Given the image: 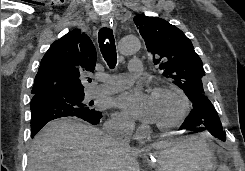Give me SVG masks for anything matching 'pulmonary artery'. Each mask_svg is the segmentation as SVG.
Instances as JSON below:
<instances>
[{
	"label": "pulmonary artery",
	"instance_id": "1",
	"mask_svg": "<svg viewBox=\"0 0 245 171\" xmlns=\"http://www.w3.org/2000/svg\"><path fill=\"white\" fill-rule=\"evenodd\" d=\"M142 72V63L139 58H133L129 64L127 73L113 75L107 78L106 82L99 86H91L88 89V96L98 97L108 95L127 88L133 81L134 75Z\"/></svg>",
	"mask_w": 245,
	"mask_h": 171
}]
</instances>
